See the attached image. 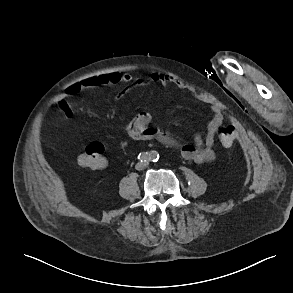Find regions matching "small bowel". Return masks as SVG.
<instances>
[{
    "instance_id": "obj_1",
    "label": "small bowel",
    "mask_w": 293,
    "mask_h": 293,
    "mask_svg": "<svg viewBox=\"0 0 293 293\" xmlns=\"http://www.w3.org/2000/svg\"><path fill=\"white\" fill-rule=\"evenodd\" d=\"M151 83L163 86L172 84L183 89L182 83L176 79L160 72H154L150 76ZM132 83V77L127 73H109L84 79L79 83L69 85L62 93L55 97V103L65 116L70 117L73 110L69 101L82 90L95 87L117 86L120 83ZM144 82H136L135 86H142ZM204 101V99H201ZM213 116L208 124V131L205 138L198 135L194 142L180 144L168 132L151 125V116L148 113L138 114L126 127H123L128 135L135 140H156L166 146L180 150L183 158L195 163H209L215 159L213 146L215 144V133L222 125L224 117L220 109L212 108Z\"/></svg>"
}]
</instances>
